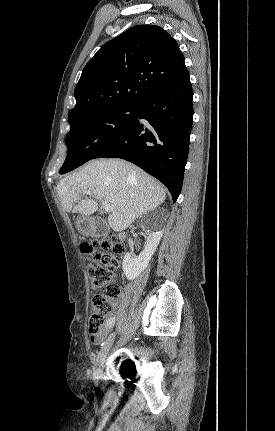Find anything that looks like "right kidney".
<instances>
[{
    "label": "right kidney",
    "mask_w": 275,
    "mask_h": 431,
    "mask_svg": "<svg viewBox=\"0 0 275 431\" xmlns=\"http://www.w3.org/2000/svg\"><path fill=\"white\" fill-rule=\"evenodd\" d=\"M163 231H150L144 250L139 256L126 253L123 259L122 268L128 280H133L143 272L151 260L161 238Z\"/></svg>",
    "instance_id": "obj_1"
}]
</instances>
